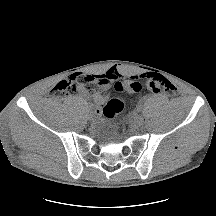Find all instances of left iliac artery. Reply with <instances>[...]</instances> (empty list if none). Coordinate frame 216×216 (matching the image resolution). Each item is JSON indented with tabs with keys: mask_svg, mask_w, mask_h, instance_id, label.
Here are the masks:
<instances>
[{
	"mask_svg": "<svg viewBox=\"0 0 216 216\" xmlns=\"http://www.w3.org/2000/svg\"><path fill=\"white\" fill-rule=\"evenodd\" d=\"M141 109H142V106L139 105V106L137 107V111H141Z\"/></svg>",
	"mask_w": 216,
	"mask_h": 216,
	"instance_id": "obj_1",
	"label": "left iliac artery"
}]
</instances>
